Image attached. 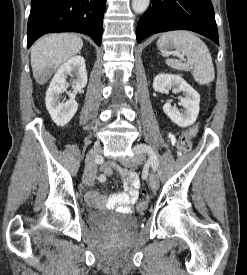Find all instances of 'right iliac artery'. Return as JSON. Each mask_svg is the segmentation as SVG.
I'll list each match as a JSON object with an SVG mask.
<instances>
[{
    "instance_id": "obj_1",
    "label": "right iliac artery",
    "mask_w": 247,
    "mask_h": 275,
    "mask_svg": "<svg viewBox=\"0 0 247 275\" xmlns=\"http://www.w3.org/2000/svg\"><path fill=\"white\" fill-rule=\"evenodd\" d=\"M103 157H102V155L101 154H96L95 155V161L98 163V164H101L102 162H103ZM99 181H101V182H103L104 180H105V176H103V175H100L99 176Z\"/></svg>"
}]
</instances>
